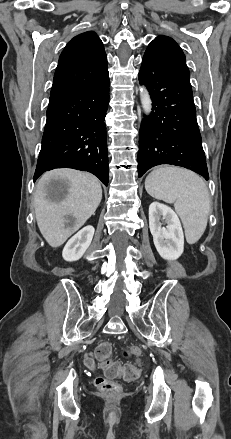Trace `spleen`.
I'll use <instances>...</instances> for the list:
<instances>
[{"label": "spleen", "instance_id": "obj_1", "mask_svg": "<svg viewBox=\"0 0 231 439\" xmlns=\"http://www.w3.org/2000/svg\"><path fill=\"white\" fill-rule=\"evenodd\" d=\"M147 193L166 203H174L188 243L197 242L204 233L210 210V198L203 179L192 171L160 167L145 180Z\"/></svg>", "mask_w": 231, "mask_h": 439}]
</instances>
